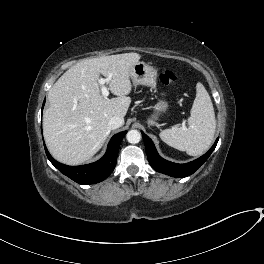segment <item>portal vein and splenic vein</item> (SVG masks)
Here are the masks:
<instances>
[{
  "instance_id": "1",
  "label": "portal vein and splenic vein",
  "mask_w": 264,
  "mask_h": 264,
  "mask_svg": "<svg viewBox=\"0 0 264 264\" xmlns=\"http://www.w3.org/2000/svg\"><path fill=\"white\" fill-rule=\"evenodd\" d=\"M109 78H100L99 84L101 85V92L104 97H107L109 95V89L105 86V83L108 82Z\"/></svg>"
}]
</instances>
